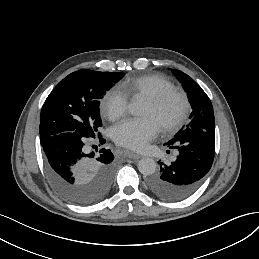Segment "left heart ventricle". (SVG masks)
<instances>
[{
	"instance_id": "b2bd125f",
	"label": "left heart ventricle",
	"mask_w": 259,
	"mask_h": 259,
	"mask_svg": "<svg viewBox=\"0 0 259 259\" xmlns=\"http://www.w3.org/2000/svg\"><path fill=\"white\" fill-rule=\"evenodd\" d=\"M178 112V101H172L167 104L162 110L157 111L148 100L143 117H154L159 122V124H161L162 122L173 121L176 118Z\"/></svg>"
}]
</instances>
